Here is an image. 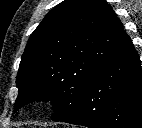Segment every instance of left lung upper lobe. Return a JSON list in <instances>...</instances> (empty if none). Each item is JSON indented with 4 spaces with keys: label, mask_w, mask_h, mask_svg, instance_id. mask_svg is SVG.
Wrapping results in <instances>:
<instances>
[{
    "label": "left lung upper lobe",
    "mask_w": 142,
    "mask_h": 128,
    "mask_svg": "<svg viewBox=\"0 0 142 128\" xmlns=\"http://www.w3.org/2000/svg\"><path fill=\"white\" fill-rule=\"evenodd\" d=\"M131 39L104 0H65L31 34L19 66L15 109L51 100L54 121L75 108L89 80Z\"/></svg>",
    "instance_id": "5c2ea615"
}]
</instances>
